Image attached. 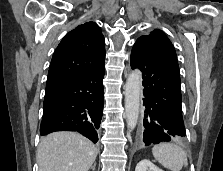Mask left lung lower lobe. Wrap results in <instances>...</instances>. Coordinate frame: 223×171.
I'll return each mask as SVG.
<instances>
[{"mask_svg":"<svg viewBox=\"0 0 223 171\" xmlns=\"http://www.w3.org/2000/svg\"><path fill=\"white\" fill-rule=\"evenodd\" d=\"M130 63L143 73L145 110L138 142L148 146L185 137L179 69L139 42L132 48Z\"/></svg>","mask_w":223,"mask_h":171,"instance_id":"0a47b994","label":"left lung lower lobe"}]
</instances>
